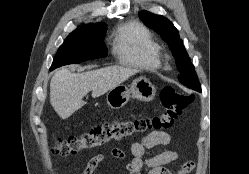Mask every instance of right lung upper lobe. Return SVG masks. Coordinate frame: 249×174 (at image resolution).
Instances as JSON below:
<instances>
[{
    "mask_svg": "<svg viewBox=\"0 0 249 174\" xmlns=\"http://www.w3.org/2000/svg\"><path fill=\"white\" fill-rule=\"evenodd\" d=\"M89 25H92V24H87V25H84V26H82V27H78L76 30L82 29V28L87 27V26H89Z\"/></svg>",
    "mask_w": 249,
    "mask_h": 174,
    "instance_id": "cb5924a9",
    "label": "right lung upper lobe"
}]
</instances>
